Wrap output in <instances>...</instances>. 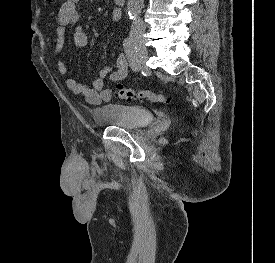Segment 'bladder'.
<instances>
[{
    "instance_id": "1",
    "label": "bladder",
    "mask_w": 275,
    "mask_h": 263,
    "mask_svg": "<svg viewBox=\"0 0 275 263\" xmlns=\"http://www.w3.org/2000/svg\"><path fill=\"white\" fill-rule=\"evenodd\" d=\"M92 117L99 126H121L128 129L154 121V114L147 108L109 103L94 108Z\"/></svg>"
}]
</instances>
